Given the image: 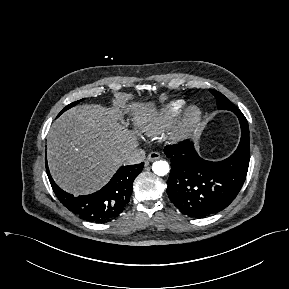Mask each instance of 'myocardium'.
Returning a JSON list of instances; mask_svg holds the SVG:
<instances>
[{"mask_svg": "<svg viewBox=\"0 0 289 289\" xmlns=\"http://www.w3.org/2000/svg\"><path fill=\"white\" fill-rule=\"evenodd\" d=\"M200 119V111L197 107H189L182 119V122L174 134V138L180 139L187 136Z\"/></svg>", "mask_w": 289, "mask_h": 289, "instance_id": "myocardium-1", "label": "myocardium"}]
</instances>
